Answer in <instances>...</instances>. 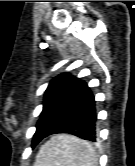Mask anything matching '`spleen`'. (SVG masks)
Returning a JSON list of instances; mask_svg holds the SVG:
<instances>
[{
    "instance_id": "spleen-1",
    "label": "spleen",
    "mask_w": 135,
    "mask_h": 166,
    "mask_svg": "<svg viewBox=\"0 0 135 166\" xmlns=\"http://www.w3.org/2000/svg\"><path fill=\"white\" fill-rule=\"evenodd\" d=\"M34 166H98V157L87 141L58 134L40 148Z\"/></svg>"
}]
</instances>
